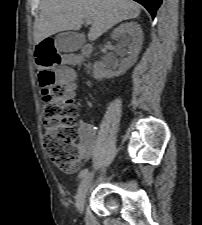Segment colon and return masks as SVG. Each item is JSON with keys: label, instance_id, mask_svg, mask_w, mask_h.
<instances>
[{"label": "colon", "instance_id": "5ec220e1", "mask_svg": "<svg viewBox=\"0 0 202 225\" xmlns=\"http://www.w3.org/2000/svg\"><path fill=\"white\" fill-rule=\"evenodd\" d=\"M57 38L47 37L39 41L35 55L39 62V81L43 101V119L46 132L43 144L50 160L62 171H74L79 166L77 143L78 110L72 103L73 90L70 72L57 73L54 68L64 63L56 52ZM70 57V53H65ZM62 82L56 83V80Z\"/></svg>", "mask_w": 202, "mask_h": 225}]
</instances>
